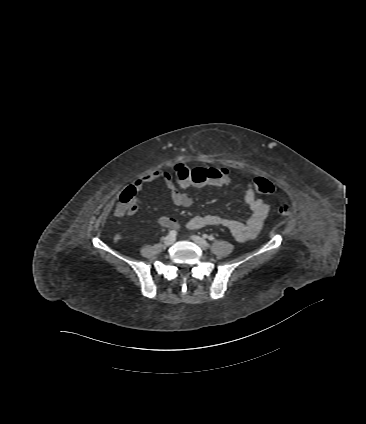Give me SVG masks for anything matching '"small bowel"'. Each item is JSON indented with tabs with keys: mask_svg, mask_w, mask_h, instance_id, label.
<instances>
[{
	"mask_svg": "<svg viewBox=\"0 0 366 424\" xmlns=\"http://www.w3.org/2000/svg\"><path fill=\"white\" fill-rule=\"evenodd\" d=\"M223 170H225L228 174H223ZM216 171L220 175V178H217V180H215L210 185L221 186L226 184L229 181L228 170L223 167H217ZM155 179H161L165 182L170 193V197L176 205L182 207H189L192 205V198L188 194L181 192L174 184L171 175L168 172L162 170L152 172L137 179L133 184V188L135 190L141 189L145 184ZM255 190V184L249 181L246 184L244 202L251 210V214L245 222L223 218L218 215L206 214L192 217L187 222L186 228L188 230H198L207 226H220L226 228L238 241H246L255 238L262 229L269 212L268 205L256 196ZM157 223L164 228H180L179 222L176 219L168 216L160 217L157 220ZM118 239H120V236L116 235L115 240Z\"/></svg>",
	"mask_w": 366,
	"mask_h": 424,
	"instance_id": "1",
	"label": "small bowel"
}]
</instances>
